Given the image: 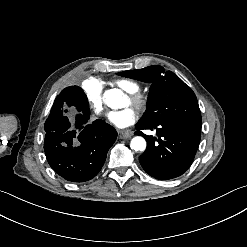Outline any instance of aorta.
<instances>
[{
    "label": "aorta",
    "mask_w": 247,
    "mask_h": 247,
    "mask_svg": "<svg viewBox=\"0 0 247 247\" xmlns=\"http://www.w3.org/2000/svg\"><path fill=\"white\" fill-rule=\"evenodd\" d=\"M123 99V93L118 89H110L105 92L104 101L112 109L120 108ZM131 149L135 151H144L146 149V141L141 136H136L131 140Z\"/></svg>",
    "instance_id": "aorta-1"
}]
</instances>
